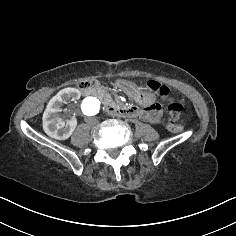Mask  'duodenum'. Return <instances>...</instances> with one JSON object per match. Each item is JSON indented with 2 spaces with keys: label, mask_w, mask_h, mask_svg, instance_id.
<instances>
[{
  "label": "duodenum",
  "mask_w": 236,
  "mask_h": 236,
  "mask_svg": "<svg viewBox=\"0 0 236 236\" xmlns=\"http://www.w3.org/2000/svg\"><path fill=\"white\" fill-rule=\"evenodd\" d=\"M80 92L83 96H90L93 94V90L90 87H81ZM106 110L108 113L120 117H136L140 115V109L132 105H107Z\"/></svg>",
  "instance_id": "410a0bca"
}]
</instances>
